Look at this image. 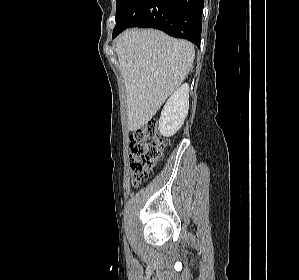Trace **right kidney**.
<instances>
[{
	"mask_svg": "<svg viewBox=\"0 0 299 280\" xmlns=\"http://www.w3.org/2000/svg\"><path fill=\"white\" fill-rule=\"evenodd\" d=\"M189 109V85H181L164 105L159 130L164 137L173 136L183 125Z\"/></svg>",
	"mask_w": 299,
	"mask_h": 280,
	"instance_id": "1",
	"label": "right kidney"
}]
</instances>
